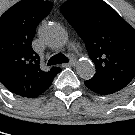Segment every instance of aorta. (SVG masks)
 <instances>
[{
    "instance_id": "1",
    "label": "aorta",
    "mask_w": 135,
    "mask_h": 135,
    "mask_svg": "<svg viewBox=\"0 0 135 135\" xmlns=\"http://www.w3.org/2000/svg\"><path fill=\"white\" fill-rule=\"evenodd\" d=\"M40 37L46 45L56 49L63 47L68 41L66 30L56 23L45 25L40 31ZM76 70L83 79H89L95 74V67L88 59L79 61Z\"/></svg>"
}]
</instances>
